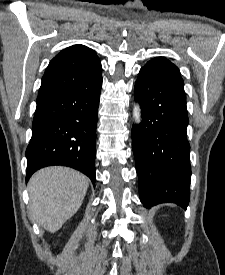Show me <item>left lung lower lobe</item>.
I'll return each instance as SVG.
<instances>
[{"instance_id": "0a47b994", "label": "left lung lower lobe", "mask_w": 225, "mask_h": 275, "mask_svg": "<svg viewBox=\"0 0 225 275\" xmlns=\"http://www.w3.org/2000/svg\"><path fill=\"white\" fill-rule=\"evenodd\" d=\"M134 97L143 119L131 131L140 200L146 208L173 202L186 209L191 166L185 93L141 69Z\"/></svg>"}]
</instances>
